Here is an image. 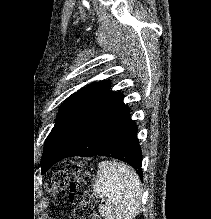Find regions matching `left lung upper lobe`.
I'll list each match as a JSON object with an SVG mask.
<instances>
[{
	"label": "left lung upper lobe",
	"instance_id": "obj_1",
	"mask_svg": "<svg viewBox=\"0 0 211 219\" xmlns=\"http://www.w3.org/2000/svg\"><path fill=\"white\" fill-rule=\"evenodd\" d=\"M110 89L109 81L95 82L68 97L55 121V126L44 145L42 162L47 161L57 149L72 126Z\"/></svg>",
	"mask_w": 211,
	"mask_h": 219
}]
</instances>
